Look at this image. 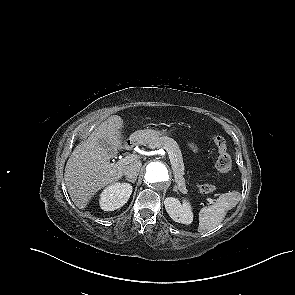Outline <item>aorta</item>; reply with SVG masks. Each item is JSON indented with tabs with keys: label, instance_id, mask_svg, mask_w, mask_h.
I'll use <instances>...</instances> for the list:
<instances>
[{
	"label": "aorta",
	"instance_id": "762f6f07",
	"mask_svg": "<svg viewBox=\"0 0 295 295\" xmlns=\"http://www.w3.org/2000/svg\"><path fill=\"white\" fill-rule=\"evenodd\" d=\"M145 183L148 186H157L160 184H166L170 180V173L161 162H151L146 166L145 171Z\"/></svg>",
	"mask_w": 295,
	"mask_h": 295
}]
</instances>
